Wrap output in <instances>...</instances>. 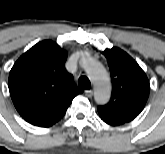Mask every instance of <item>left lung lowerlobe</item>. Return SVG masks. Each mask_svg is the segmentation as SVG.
I'll return each mask as SVG.
<instances>
[{
    "instance_id": "1",
    "label": "left lung lower lobe",
    "mask_w": 165,
    "mask_h": 154,
    "mask_svg": "<svg viewBox=\"0 0 165 154\" xmlns=\"http://www.w3.org/2000/svg\"><path fill=\"white\" fill-rule=\"evenodd\" d=\"M101 119L104 121V122H106V123H108V124H110V125H120V124H123V123H120V122H116V121H109V120H106V119H103L102 117H101Z\"/></svg>"
}]
</instances>
